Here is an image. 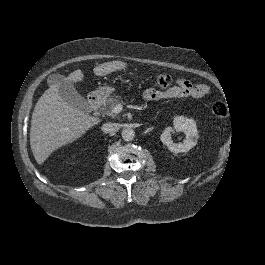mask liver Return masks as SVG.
I'll use <instances>...</instances> for the list:
<instances>
[{
  "label": "liver",
  "mask_w": 265,
  "mask_h": 265,
  "mask_svg": "<svg viewBox=\"0 0 265 265\" xmlns=\"http://www.w3.org/2000/svg\"><path fill=\"white\" fill-rule=\"evenodd\" d=\"M122 61L105 62L93 69L96 76H105L125 69ZM84 74L80 69L66 78L70 82H80ZM59 85L50 86L37 101L32 113L30 146L36 162L41 165L56 149L75 141L89 128L99 123V119L78 110L65 102L58 94Z\"/></svg>",
  "instance_id": "obj_1"
}]
</instances>
